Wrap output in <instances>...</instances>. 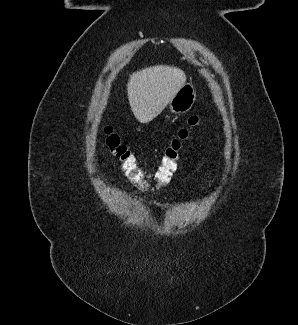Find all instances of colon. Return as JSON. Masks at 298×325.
Segmentation results:
<instances>
[{
    "mask_svg": "<svg viewBox=\"0 0 298 325\" xmlns=\"http://www.w3.org/2000/svg\"><path fill=\"white\" fill-rule=\"evenodd\" d=\"M200 124L197 115L188 119V126L181 128L177 136L164 150L154 175L156 187L166 186L175 172L183 144L191 139V129ZM106 145L111 154L118 160L120 170L126 178L139 190L146 191L150 184L144 170L139 166L135 155L120 140L111 127H106Z\"/></svg>",
    "mask_w": 298,
    "mask_h": 325,
    "instance_id": "colon-1",
    "label": "colon"
}]
</instances>
